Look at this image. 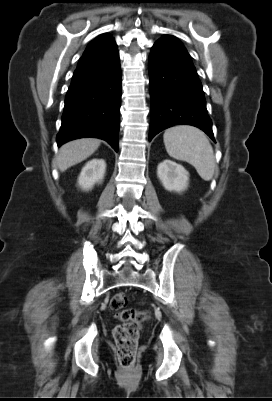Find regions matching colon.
<instances>
[{
    "mask_svg": "<svg viewBox=\"0 0 272 401\" xmlns=\"http://www.w3.org/2000/svg\"><path fill=\"white\" fill-rule=\"evenodd\" d=\"M126 304L127 296L124 293H117L112 297L110 307L122 321L113 332L118 359L123 368L130 369L134 366L136 359L140 324L148 318L149 314L145 311L125 308Z\"/></svg>",
    "mask_w": 272,
    "mask_h": 401,
    "instance_id": "obj_1",
    "label": "colon"
}]
</instances>
